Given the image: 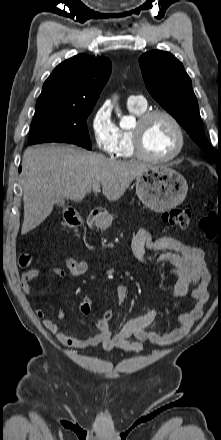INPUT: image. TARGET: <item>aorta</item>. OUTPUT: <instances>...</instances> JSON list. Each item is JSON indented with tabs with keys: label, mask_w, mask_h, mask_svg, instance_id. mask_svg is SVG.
Here are the masks:
<instances>
[{
	"label": "aorta",
	"mask_w": 221,
	"mask_h": 440,
	"mask_svg": "<svg viewBox=\"0 0 221 440\" xmlns=\"http://www.w3.org/2000/svg\"><path fill=\"white\" fill-rule=\"evenodd\" d=\"M116 112H117L118 117H120V125L122 127L127 126L130 123V121L132 120V117H130V116H121L119 109H116Z\"/></svg>",
	"instance_id": "aorta-1"
}]
</instances>
